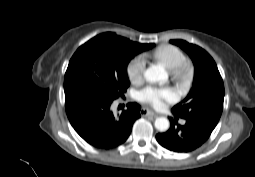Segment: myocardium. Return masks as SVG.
Segmentation results:
<instances>
[{"instance_id":"obj_1","label":"myocardium","mask_w":255,"mask_h":177,"mask_svg":"<svg viewBox=\"0 0 255 177\" xmlns=\"http://www.w3.org/2000/svg\"><path fill=\"white\" fill-rule=\"evenodd\" d=\"M173 80L177 85L185 84L192 73V67L189 61L186 59L178 64L175 68L170 70Z\"/></svg>"}]
</instances>
